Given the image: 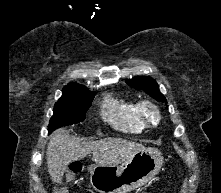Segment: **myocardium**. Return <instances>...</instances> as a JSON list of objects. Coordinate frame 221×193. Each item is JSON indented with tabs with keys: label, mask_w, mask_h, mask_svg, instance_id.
<instances>
[{
	"label": "myocardium",
	"mask_w": 221,
	"mask_h": 193,
	"mask_svg": "<svg viewBox=\"0 0 221 193\" xmlns=\"http://www.w3.org/2000/svg\"><path fill=\"white\" fill-rule=\"evenodd\" d=\"M141 121L148 126H156L161 120V113L157 104L151 100H143L137 105Z\"/></svg>",
	"instance_id": "1"
}]
</instances>
